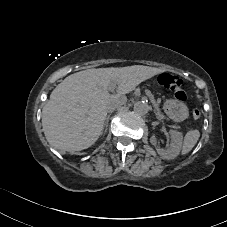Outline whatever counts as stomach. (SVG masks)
Instances as JSON below:
<instances>
[{
  "label": "stomach",
  "mask_w": 227,
  "mask_h": 227,
  "mask_svg": "<svg viewBox=\"0 0 227 227\" xmlns=\"http://www.w3.org/2000/svg\"><path fill=\"white\" fill-rule=\"evenodd\" d=\"M163 109L171 119L177 122L183 121L189 116L187 106L177 100H166Z\"/></svg>",
  "instance_id": "0dacf381"
}]
</instances>
